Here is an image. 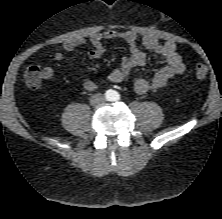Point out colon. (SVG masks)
Here are the masks:
<instances>
[{
  "label": "colon",
  "instance_id": "colon-1",
  "mask_svg": "<svg viewBox=\"0 0 222 219\" xmlns=\"http://www.w3.org/2000/svg\"><path fill=\"white\" fill-rule=\"evenodd\" d=\"M194 71L198 79H203L208 75V68L203 64L196 65ZM43 78L44 74L39 66L35 64H30L26 67L24 73V80L29 87L32 88L38 87Z\"/></svg>",
  "mask_w": 222,
  "mask_h": 219
}]
</instances>
